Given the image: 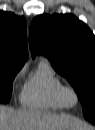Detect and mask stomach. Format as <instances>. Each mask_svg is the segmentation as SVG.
Listing matches in <instances>:
<instances>
[{
  "label": "stomach",
  "instance_id": "stomach-1",
  "mask_svg": "<svg viewBox=\"0 0 95 130\" xmlns=\"http://www.w3.org/2000/svg\"><path fill=\"white\" fill-rule=\"evenodd\" d=\"M68 130H82L81 128H69Z\"/></svg>",
  "mask_w": 95,
  "mask_h": 130
}]
</instances>
